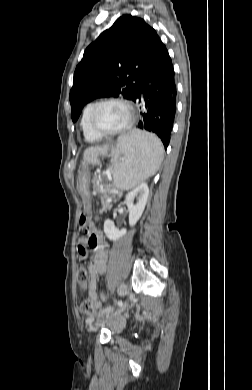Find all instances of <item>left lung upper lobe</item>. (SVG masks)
I'll return each instance as SVG.
<instances>
[{"instance_id":"obj_1","label":"left lung upper lobe","mask_w":252,"mask_h":390,"mask_svg":"<svg viewBox=\"0 0 252 390\" xmlns=\"http://www.w3.org/2000/svg\"><path fill=\"white\" fill-rule=\"evenodd\" d=\"M163 43L143 19L123 15L84 52L70 91L72 120L95 98L134 101L139 82Z\"/></svg>"}]
</instances>
